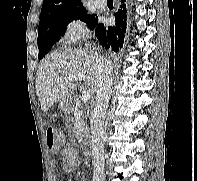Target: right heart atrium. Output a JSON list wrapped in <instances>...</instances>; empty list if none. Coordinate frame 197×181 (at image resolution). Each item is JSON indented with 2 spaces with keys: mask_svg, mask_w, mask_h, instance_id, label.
Wrapping results in <instances>:
<instances>
[{
  "mask_svg": "<svg viewBox=\"0 0 197 181\" xmlns=\"http://www.w3.org/2000/svg\"><path fill=\"white\" fill-rule=\"evenodd\" d=\"M86 35V28L81 20H69L64 29V38L68 42H77L84 38Z\"/></svg>",
  "mask_w": 197,
  "mask_h": 181,
  "instance_id": "obj_1",
  "label": "right heart atrium"
}]
</instances>
